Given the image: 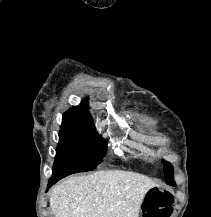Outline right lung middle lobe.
Returning <instances> with one entry per match:
<instances>
[{"label":"right lung middle lobe","instance_id":"right-lung-middle-lobe-1","mask_svg":"<svg viewBox=\"0 0 211 217\" xmlns=\"http://www.w3.org/2000/svg\"><path fill=\"white\" fill-rule=\"evenodd\" d=\"M107 142L94 127L61 126L50 179L94 170L103 160Z\"/></svg>","mask_w":211,"mask_h":217}]
</instances>
